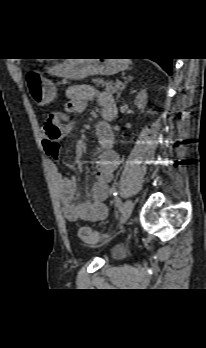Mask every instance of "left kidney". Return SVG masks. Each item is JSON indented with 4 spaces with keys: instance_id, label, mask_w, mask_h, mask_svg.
I'll return each instance as SVG.
<instances>
[{
    "instance_id": "1",
    "label": "left kidney",
    "mask_w": 206,
    "mask_h": 348,
    "mask_svg": "<svg viewBox=\"0 0 206 348\" xmlns=\"http://www.w3.org/2000/svg\"><path fill=\"white\" fill-rule=\"evenodd\" d=\"M147 93L145 90H142L140 93L137 94L134 104L139 108V109H143L145 108L146 104H147Z\"/></svg>"
}]
</instances>
